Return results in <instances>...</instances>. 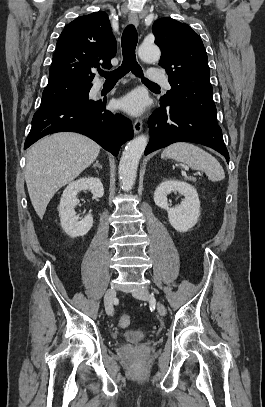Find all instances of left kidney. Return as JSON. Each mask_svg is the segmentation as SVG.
<instances>
[{
  "mask_svg": "<svg viewBox=\"0 0 265 407\" xmlns=\"http://www.w3.org/2000/svg\"><path fill=\"white\" fill-rule=\"evenodd\" d=\"M171 192L184 195V200L175 208H170L167 196ZM155 204L165 209L169 222L178 232H187L198 222L200 215V201L196 189L184 181L165 180L154 192Z\"/></svg>",
  "mask_w": 265,
  "mask_h": 407,
  "instance_id": "obj_1",
  "label": "left kidney"
}]
</instances>
